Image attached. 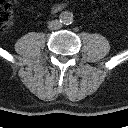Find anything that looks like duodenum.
<instances>
[{"mask_svg": "<svg viewBox=\"0 0 128 128\" xmlns=\"http://www.w3.org/2000/svg\"><path fill=\"white\" fill-rule=\"evenodd\" d=\"M62 7H63V5L59 4V5H57V6L55 7V10H60V9H62Z\"/></svg>", "mask_w": 128, "mask_h": 128, "instance_id": "duodenum-1", "label": "duodenum"}]
</instances>
